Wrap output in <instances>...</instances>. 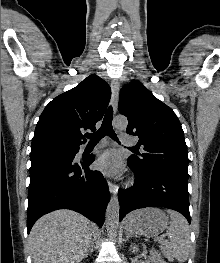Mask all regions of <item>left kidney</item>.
Here are the masks:
<instances>
[{"instance_id": "5707ae66", "label": "left kidney", "mask_w": 220, "mask_h": 263, "mask_svg": "<svg viewBox=\"0 0 220 263\" xmlns=\"http://www.w3.org/2000/svg\"><path fill=\"white\" fill-rule=\"evenodd\" d=\"M139 250L138 246L134 245L132 247V252L137 253ZM151 259L153 263H166L165 261L162 260L161 255L156 251V250H151L150 251Z\"/></svg>"}]
</instances>
